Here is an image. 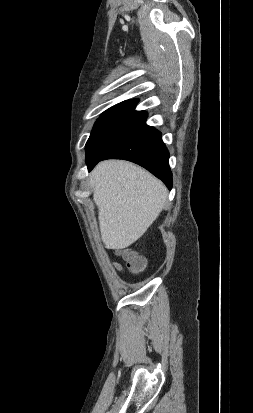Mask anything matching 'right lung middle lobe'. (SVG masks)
Returning <instances> with one entry per match:
<instances>
[{"instance_id":"dd1d6c3e","label":"right lung middle lobe","mask_w":253,"mask_h":413,"mask_svg":"<svg viewBox=\"0 0 253 413\" xmlns=\"http://www.w3.org/2000/svg\"><path fill=\"white\" fill-rule=\"evenodd\" d=\"M147 117L104 115L97 119L86 143V162L105 155L146 124Z\"/></svg>"}]
</instances>
